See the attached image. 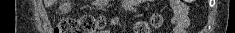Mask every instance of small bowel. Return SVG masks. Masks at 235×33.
Returning a JSON list of instances; mask_svg holds the SVG:
<instances>
[{
	"label": "small bowel",
	"instance_id": "1",
	"mask_svg": "<svg viewBox=\"0 0 235 33\" xmlns=\"http://www.w3.org/2000/svg\"><path fill=\"white\" fill-rule=\"evenodd\" d=\"M172 9L171 24L174 33H187L189 27L188 6L181 0H171ZM102 33H109L104 31Z\"/></svg>",
	"mask_w": 235,
	"mask_h": 33
}]
</instances>
